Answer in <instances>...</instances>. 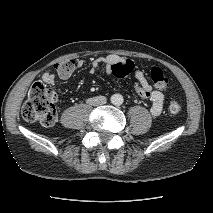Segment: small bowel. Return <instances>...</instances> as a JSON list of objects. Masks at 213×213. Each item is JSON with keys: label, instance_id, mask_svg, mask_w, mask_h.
<instances>
[{"label": "small bowel", "instance_id": "small-bowel-1", "mask_svg": "<svg viewBox=\"0 0 213 213\" xmlns=\"http://www.w3.org/2000/svg\"><path fill=\"white\" fill-rule=\"evenodd\" d=\"M125 60L124 58L117 55H107L104 57L96 58L92 61L90 72L95 73L100 66H103L108 74H112V67L114 64ZM84 66L83 60H77L75 63L76 68H82ZM133 75L136 80L134 89L135 92L142 98H147L151 102L150 113L153 116H158L161 114L164 106L165 97L164 94L154 89L151 84L148 82L146 75L143 70L135 68L133 70ZM56 76L53 70L48 69L42 75V80L49 84L53 85L55 82Z\"/></svg>", "mask_w": 213, "mask_h": 213}]
</instances>
